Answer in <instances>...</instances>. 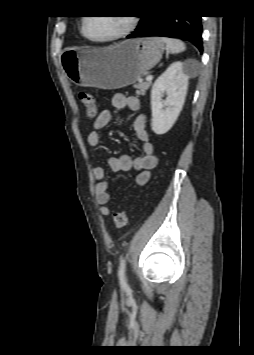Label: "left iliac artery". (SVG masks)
I'll return each instance as SVG.
<instances>
[{"label":"left iliac artery","instance_id":"left-iliac-artery-1","mask_svg":"<svg viewBox=\"0 0 254 355\" xmlns=\"http://www.w3.org/2000/svg\"><path fill=\"white\" fill-rule=\"evenodd\" d=\"M125 268H126L125 258H121L120 266H119V270H118V277H119L120 284L122 286L127 285V281H126V277H125Z\"/></svg>","mask_w":254,"mask_h":355}]
</instances>
